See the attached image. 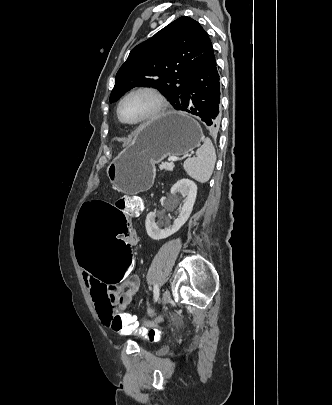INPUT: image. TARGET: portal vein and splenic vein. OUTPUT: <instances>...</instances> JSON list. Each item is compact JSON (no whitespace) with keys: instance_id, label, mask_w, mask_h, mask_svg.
I'll use <instances>...</instances> for the list:
<instances>
[{"instance_id":"obj_1","label":"portal vein and splenic vein","mask_w":332,"mask_h":405,"mask_svg":"<svg viewBox=\"0 0 332 405\" xmlns=\"http://www.w3.org/2000/svg\"><path fill=\"white\" fill-rule=\"evenodd\" d=\"M171 163H170V167H174V161H177V160H179V158H176V157H173V158H169L168 159Z\"/></svg>"}]
</instances>
